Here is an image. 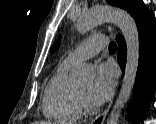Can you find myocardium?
Returning <instances> with one entry per match:
<instances>
[{
    "label": "myocardium",
    "mask_w": 156,
    "mask_h": 124,
    "mask_svg": "<svg viewBox=\"0 0 156 124\" xmlns=\"http://www.w3.org/2000/svg\"><path fill=\"white\" fill-rule=\"evenodd\" d=\"M78 92L80 96V101L82 104V107L88 112V113H95L98 110V105L93 103L90 98L78 87Z\"/></svg>",
    "instance_id": "obj_1"
}]
</instances>
